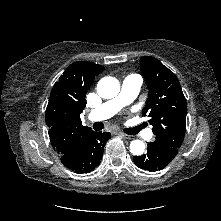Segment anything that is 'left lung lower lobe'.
Listing matches in <instances>:
<instances>
[{
  "mask_svg": "<svg viewBox=\"0 0 221 221\" xmlns=\"http://www.w3.org/2000/svg\"><path fill=\"white\" fill-rule=\"evenodd\" d=\"M177 152L178 148L154 141L148 143L146 154L134 156L133 161L137 167L155 172L165 168L173 160Z\"/></svg>",
  "mask_w": 221,
  "mask_h": 221,
  "instance_id": "left-lung-lower-lobe-1",
  "label": "left lung lower lobe"
}]
</instances>
